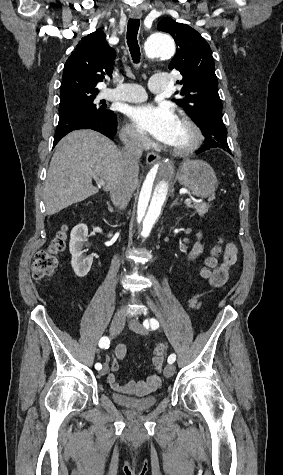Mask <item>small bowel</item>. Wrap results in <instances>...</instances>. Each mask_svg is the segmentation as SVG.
Here are the masks:
<instances>
[{"instance_id": "1", "label": "small bowel", "mask_w": 283, "mask_h": 475, "mask_svg": "<svg viewBox=\"0 0 283 475\" xmlns=\"http://www.w3.org/2000/svg\"><path fill=\"white\" fill-rule=\"evenodd\" d=\"M224 256L221 261V268L220 271H216V274H213L210 276V281L209 284L213 287H224L228 280L229 276L232 272V267L237 261L238 257V249L236 245L233 242H228L225 246L224 250ZM189 307L192 310H198L201 307V298L199 294L193 295L189 299ZM126 356V347L124 345H118L115 350V357L110 363V370L111 372L107 375V381L109 385L115 389V390H120L122 389V386L118 383L116 379L115 373L119 370L120 368V363L124 360ZM156 374L150 376L147 380V382L152 385L156 386L160 383L161 377H160V371L161 369H155Z\"/></svg>"}]
</instances>
